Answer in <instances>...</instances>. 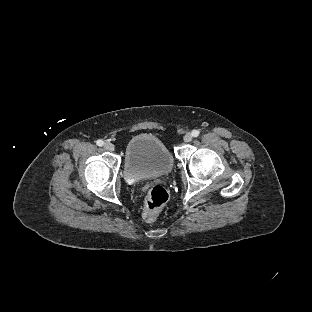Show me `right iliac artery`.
Returning a JSON list of instances; mask_svg holds the SVG:
<instances>
[{"mask_svg":"<svg viewBox=\"0 0 312 312\" xmlns=\"http://www.w3.org/2000/svg\"><path fill=\"white\" fill-rule=\"evenodd\" d=\"M96 144H97L98 146H103L104 142H103L102 140L99 139V140H97Z\"/></svg>","mask_w":312,"mask_h":312,"instance_id":"right-iliac-artery-1","label":"right iliac artery"}]
</instances>
